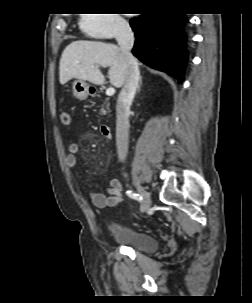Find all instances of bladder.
<instances>
[{"label":"bladder","instance_id":"obj_1","mask_svg":"<svg viewBox=\"0 0 252 303\" xmlns=\"http://www.w3.org/2000/svg\"><path fill=\"white\" fill-rule=\"evenodd\" d=\"M113 237L120 243L144 253H154L159 243L152 235L119 223H113L109 227Z\"/></svg>","mask_w":252,"mask_h":303}]
</instances>
